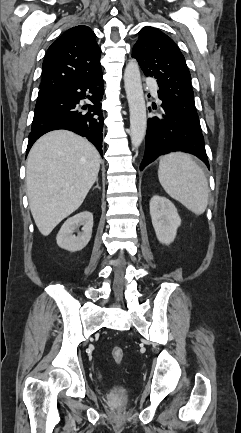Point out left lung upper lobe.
I'll return each mask as SVG.
<instances>
[{"label":"left lung upper lobe","instance_id":"left-lung-upper-lobe-1","mask_svg":"<svg viewBox=\"0 0 241 433\" xmlns=\"http://www.w3.org/2000/svg\"><path fill=\"white\" fill-rule=\"evenodd\" d=\"M132 57L146 76L157 79L158 95L164 97L191 124L201 129L197 115L191 76L176 43L163 32L146 26L139 32Z\"/></svg>","mask_w":241,"mask_h":433}]
</instances>
